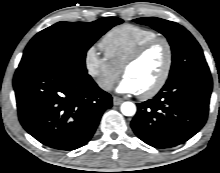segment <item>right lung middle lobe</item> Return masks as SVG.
Listing matches in <instances>:
<instances>
[{"mask_svg": "<svg viewBox=\"0 0 220 173\" xmlns=\"http://www.w3.org/2000/svg\"><path fill=\"white\" fill-rule=\"evenodd\" d=\"M122 22L116 17H105L94 22H58L31 39L19 67L55 65L73 74H87V50L109 29Z\"/></svg>", "mask_w": 220, "mask_h": 173, "instance_id": "1", "label": "right lung middle lobe"}]
</instances>
